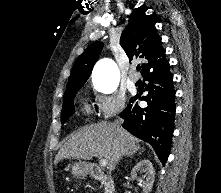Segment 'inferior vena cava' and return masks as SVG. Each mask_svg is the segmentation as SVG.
<instances>
[{"label": "inferior vena cava", "instance_id": "inferior-vena-cava-1", "mask_svg": "<svg viewBox=\"0 0 221 193\" xmlns=\"http://www.w3.org/2000/svg\"><path fill=\"white\" fill-rule=\"evenodd\" d=\"M121 124H122V121L121 120H116L115 121V126L120 129L121 128ZM118 160H117V163L119 162V160L121 159V155H118Z\"/></svg>", "mask_w": 221, "mask_h": 193}]
</instances>
